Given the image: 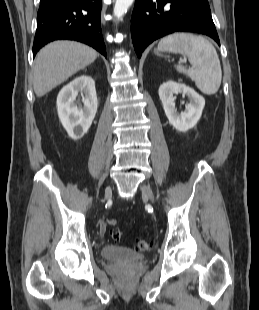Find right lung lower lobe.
Returning a JSON list of instances; mask_svg holds the SVG:
<instances>
[{
	"label": "right lung lower lobe",
	"instance_id": "right-lung-lower-lobe-1",
	"mask_svg": "<svg viewBox=\"0 0 259 310\" xmlns=\"http://www.w3.org/2000/svg\"><path fill=\"white\" fill-rule=\"evenodd\" d=\"M101 8L102 0H42L37 14L33 55L51 41L70 39L88 44L106 57Z\"/></svg>",
	"mask_w": 259,
	"mask_h": 310
}]
</instances>
